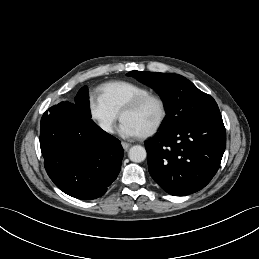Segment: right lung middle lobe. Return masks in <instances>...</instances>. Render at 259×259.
<instances>
[{
  "label": "right lung middle lobe",
  "mask_w": 259,
  "mask_h": 259,
  "mask_svg": "<svg viewBox=\"0 0 259 259\" xmlns=\"http://www.w3.org/2000/svg\"><path fill=\"white\" fill-rule=\"evenodd\" d=\"M75 105L83 116L91 119L89 111L88 90L86 86L82 87L76 95Z\"/></svg>",
  "instance_id": "obj_1"
}]
</instances>
